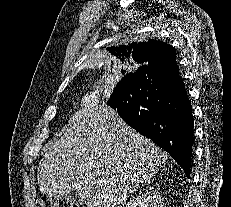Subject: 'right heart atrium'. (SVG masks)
I'll return each mask as SVG.
<instances>
[{
  "label": "right heart atrium",
  "instance_id": "obj_1",
  "mask_svg": "<svg viewBox=\"0 0 231 207\" xmlns=\"http://www.w3.org/2000/svg\"><path fill=\"white\" fill-rule=\"evenodd\" d=\"M79 106L87 110L96 109L100 103L99 95L95 91H89L80 95Z\"/></svg>",
  "mask_w": 231,
  "mask_h": 207
}]
</instances>
